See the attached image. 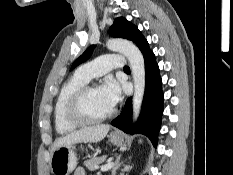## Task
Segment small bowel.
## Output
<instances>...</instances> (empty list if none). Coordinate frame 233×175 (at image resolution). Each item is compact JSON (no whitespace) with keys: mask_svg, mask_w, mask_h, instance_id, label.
<instances>
[{"mask_svg":"<svg viewBox=\"0 0 233 175\" xmlns=\"http://www.w3.org/2000/svg\"><path fill=\"white\" fill-rule=\"evenodd\" d=\"M73 175H87V174L83 168H77L75 169Z\"/></svg>","mask_w":233,"mask_h":175,"instance_id":"obj_1","label":"small bowel"}]
</instances>
